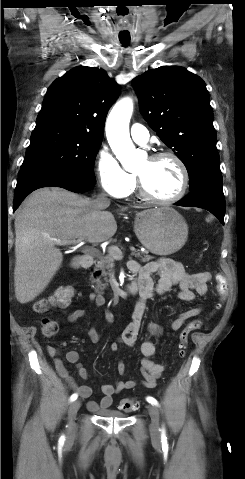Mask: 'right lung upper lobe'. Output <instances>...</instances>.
Segmentation results:
<instances>
[{
  "mask_svg": "<svg viewBox=\"0 0 245 479\" xmlns=\"http://www.w3.org/2000/svg\"><path fill=\"white\" fill-rule=\"evenodd\" d=\"M118 85L99 68L79 66L49 87L35 128L57 127L102 139L109 108Z\"/></svg>",
  "mask_w": 245,
  "mask_h": 479,
  "instance_id": "obj_1",
  "label": "right lung upper lobe"
}]
</instances>
